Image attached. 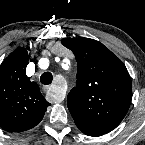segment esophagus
Returning a JSON list of instances; mask_svg holds the SVG:
<instances>
[{"label": "esophagus", "instance_id": "34e87169", "mask_svg": "<svg viewBox=\"0 0 145 145\" xmlns=\"http://www.w3.org/2000/svg\"><path fill=\"white\" fill-rule=\"evenodd\" d=\"M54 86L52 87H49V86H46L45 89L47 90V94L48 96L54 100V102H61L63 99H64V95L60 92V91H51V89L53 88Z\"/></svg>", "mask_w": 145, "mask_h": 145}]
</instances>
